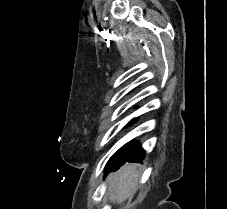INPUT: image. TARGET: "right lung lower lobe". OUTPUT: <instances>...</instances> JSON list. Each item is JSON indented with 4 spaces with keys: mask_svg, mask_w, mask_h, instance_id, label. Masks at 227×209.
<instances>
[{
    "mask_svg": "<svg viewBox=\"0 0 227 209\" xmlns=\"http://www.w3.org/2000/svg\"><path fill=\"white\" fill-rule=\"evenodd\" d=\"M144 156L145 151L139 144L128 143L116 153L113 164L106 172L115 171L126 162H141Z\"/></svg>",
    "mask_w": 227,
    "mask_h": 209,
    "instance_id": "obj_1",
    "label": "right lung lower lobe"
}]
</instances>
